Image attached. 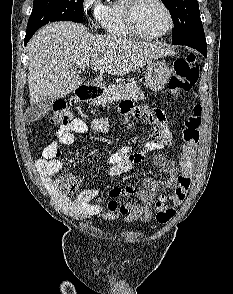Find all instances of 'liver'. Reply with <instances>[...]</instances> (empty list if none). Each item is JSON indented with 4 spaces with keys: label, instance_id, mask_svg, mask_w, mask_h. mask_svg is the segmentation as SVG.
<instances>
[{
    "label": "liver",
    "instance_id": "obj_1",
    "mask_svg": "<svg viewBox=\"0 0 233 294\" xmlns=\"http://www.w3.org/2000/svg\"><path fill=\"white\" fill-rule=\"evenodd\" d=\"M31 105L44 97L63 98L82 84L78 63L89 60L94 71L125 75L172 54L158 42L94 35L80 24L55 22L28 42Z\"/></svg>",
    "mask_w": 233,
    "mask_h": 294
}]
</instances>
